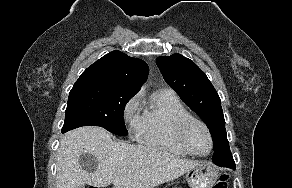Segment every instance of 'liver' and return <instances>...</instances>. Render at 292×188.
I'll list each match as a JSON object with an SVG mask.
<instances>
[{"mask_svg":"<svg viewBox=\"0 0 292 188\" xmlns=\"http://www.w3.org/2000/svg\"><path fill=\"white\" fill-rule=\"evenodd\" d=\"M84 153L97 160L94 171L79 159ZM200 162L182 159L163 149L113 141L100 127L87 126L67 132L57 151L56 188L93 187L153 188L174 180ZM126 170L125 173H119Z\"/></svg>","mask_w":292,"mask_h":188,"instance_id":"6515ba94","label":"liver"}]
</instances>
